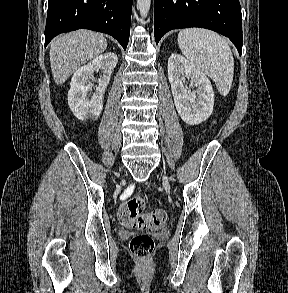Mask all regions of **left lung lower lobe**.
<instances>
[{
  "mask_svg": "<svg viewBox=\"0 0 288 293\" xmlns=\"http://www.w3.org/2000/svg\"><path fill=\"white\" fill-rule=\"evenodd\" d=\"M156 44L172 29L201 27L228 37L242 52V15L239 0H155Z\"/></svg>",
  "mask_w": 288,
  "mask_h": 293,
  "instance_id": "1",
  "label": "left lung lower lobe"
}]
</instances>
